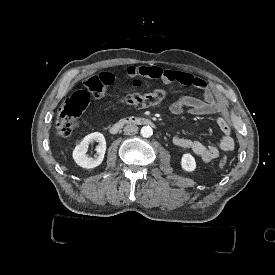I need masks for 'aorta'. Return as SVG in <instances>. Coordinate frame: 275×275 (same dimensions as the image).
Returning <instances> with one entry per match:
<instances>
[{
    "instance_id": "762f6f07",
    "label": "aorta",
    "mask_w": 275,
    "mask_h": 275,
    "mask_svg": "<svg viewBox=\"0 0 275 275\" xmlns=\"http://www.w3.org/2000/svg\"><path fill=\"white\" fill-rule=\"evenodd\" d=\"M141 135L144 138H149L153 135V130L150 126H144L141 128Z\"/></svg>"
}]
</instances>
